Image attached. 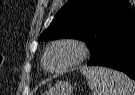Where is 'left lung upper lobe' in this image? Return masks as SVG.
<instances>
[{"label":"left lung upper lobe","mask_w":135,"mask_h":95,"mask_svg":"<svg viewBox=\"0 0 135 95\" xmlns=\"http://www.w3.org/2000/svg\"><path fill=\"white\" fill-rule=\"evenodd\" d=\"M134 22L135 11L128 0H70L39 40L79 39L86 42L92 56L106 36Z\"/></svg>","instance_id":"5c2ea615"}]
</instances>
